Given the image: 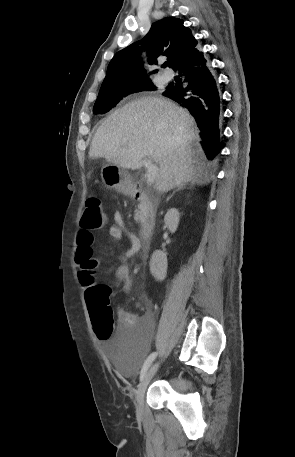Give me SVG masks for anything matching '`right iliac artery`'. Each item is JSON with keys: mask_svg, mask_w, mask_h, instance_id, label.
I'll return each mask as SVG.
<instances>
[{"mask_svg": "<svg viewBox=\"0 0 295 457\" xmlns=\"http://www.w3.org/2000/svg\"><path fill=\"white\" fill-rule=\"evenodd\" d=\"M157 356V353L156 352H153L151 353L148 358L146 359V361L144 362L143 364V367L141 369V373H140V380H142L148 370V368L150 367V365L152 364V362L154 361V359L156 358Z\"/></svg>", "mask_w": 295, "mask_h": 457, "instance_id": "1", "label": "right iliac artery"}]
</instances>
